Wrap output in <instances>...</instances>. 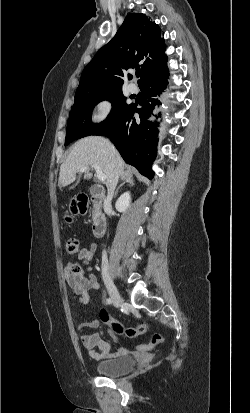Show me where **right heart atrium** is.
I'll return each instance as SVG.
<instances>
[{"instance_id":"right-heart-atrium-1","label":"right heart atrium","mask_w":250,"mask_h":413,"mask_svg":"<svg viewBox=\"0 0 250 413\" xmlns=\"http://www.w3.org/2000/svg\"><path fill=\"white\" fill-rule=\"evenodd\" d=\"M114 103L110 98H101L93 106L91 119L94 123L105 122L112 114Z\"/></svg>"}]
</instances>
